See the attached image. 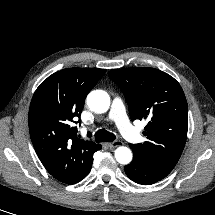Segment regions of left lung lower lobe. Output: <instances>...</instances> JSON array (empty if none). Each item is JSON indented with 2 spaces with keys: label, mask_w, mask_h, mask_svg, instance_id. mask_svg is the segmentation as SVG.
<instances>
[{
  "label": "left lung lower lobe",
  "mask_w": 215,
  "mask_h": 215,
  "mask_svg": "<svg viewBox=\"0 0 215 215\" xmlns=\"http://www.w3.org/2000/svg\"><path fill=\"white\" fill-rule=\"evenodd\" d=\"M133 161L125 166L126 175L136 183L151 185L165 178L171 171L146 162L136 150Z\"/></svg>",
  "instance_id": "obj_1"
}]
</instances>
